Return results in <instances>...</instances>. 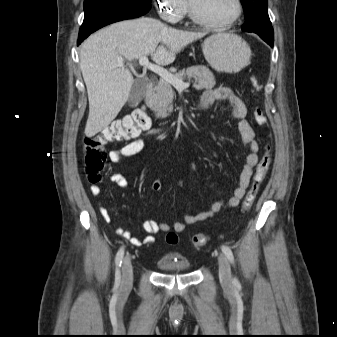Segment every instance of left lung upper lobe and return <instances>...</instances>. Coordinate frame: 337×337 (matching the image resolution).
Listing matches in <instances>:
<instances>
[{
  "label": "left lung upper lobe",
  "mask_w": 337,
  "mask_h": 337,
  "mask_svg": "<svg viewBox=\"0 0 337 337\" xmlns=\"http://www.w3.org/2000/svg\"><path fill=\"white\" fill-rule=\"evenodd\" d=\"M245 11V23L242 30L274 36L267 12L268 0H241Z\"/></svg>",
  "instance_id": "obj_1"
}]
</instances>
